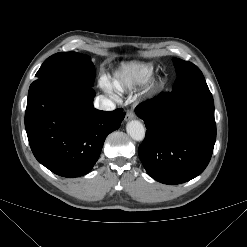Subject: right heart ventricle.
<instances>
[{
  "label": "right heart ventricle",
  "mask_w": 247,
  "mask_h": 247,
  "mask_svg": "<svg viewBox=\"0 0 247 247\" xmlns=\"http://www.w3.org/2000/svg\"><path fill=\"white\" fill-rule=\"evenodd\" d=\"M153 67L148 64L128 63L113 73L109 87L116 92H125L146 84L153 76Z\"/></svg>",
  "instance_id": "1"
}]
</instances>
